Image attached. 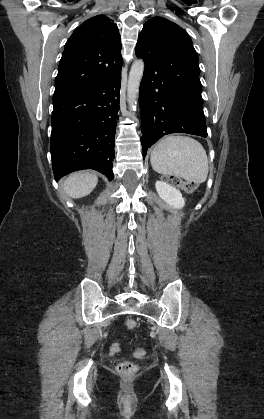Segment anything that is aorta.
<instances>
[{"mask_svg": "<svg viewBox=\"0 0 264 419\" xmlns=\"http://www.w3.org/2000/svg\"><path fill=\"white\" fill-rule=\"evenodd\" d=\"M144 72L143 60H136L131 67L128 86H127V101L130 110L135 111L137 106V99L139 93L140 82Z\"/></svg>", "mask_w": 264, "mask_h": 419, "instance_id": "obj_1", "label": "aorta"}]
</instances>
